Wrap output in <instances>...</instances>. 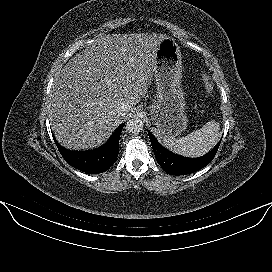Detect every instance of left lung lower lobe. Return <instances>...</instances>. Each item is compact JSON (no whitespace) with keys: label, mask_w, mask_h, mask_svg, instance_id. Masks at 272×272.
Wrapping results in <instances>:
<instances>
[{"label":"left lung lower lobe","mask_w":272,"mask_h":272,"mask_svg":"<svg viewBox=\"0 0 272 272\" xmlns=\"http://www.w3.org/2000/svg\"><path fill=\"white\" fill-rule=\"evenodd\" d=\"M148 134L158 164L171 175L190 174L204 168L213 160L220 146L219 142L213 150L202 157L186 158L166 150L150 132Z\"/></svg>","instance_id":"left-lung-lower-lobe-1"}]
</instances>
